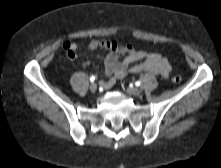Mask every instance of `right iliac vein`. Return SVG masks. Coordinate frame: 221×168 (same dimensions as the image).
Wrapping results in <instances>:
<instances>
[{
    "instance_id": "right-iliac-vein-1",
    "label": "right iliac vein",
    "mask_w": 221,
    "mask_h": 168,
    "mask_svg": "<svg viewBox=\"0 0 221 168\" xmlns=\"http://www.w3.org/2000/svg\"><path fill=\"white\" fill-rule=\"evenodd\" d=\"M96 90H97V85H96L95 83H92V84L90 85V91H91L92 93H94V92H96Z\"/></svg>"
}]
</instances>
